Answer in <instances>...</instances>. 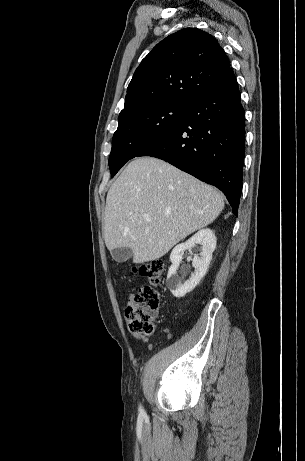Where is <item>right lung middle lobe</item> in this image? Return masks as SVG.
I'll use <instances>...</instances> for the list:
<instances>
[{"instance_id":"1","label":"right lung middle lobe","mask_w":305,"mask_h":461,"mask_svg":"<svg viewBox=\"0 0 305 461\" xmlns=\"http://www.w3.org/2000/svg\"><path fill=\"white\" fill-rule=\"evenodd\" d=\"M189 104L165 102L118 119L109 157L111 177L130 159L174 130L184 119Z\"/></svg>"}]
</instances>
